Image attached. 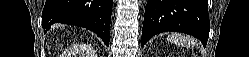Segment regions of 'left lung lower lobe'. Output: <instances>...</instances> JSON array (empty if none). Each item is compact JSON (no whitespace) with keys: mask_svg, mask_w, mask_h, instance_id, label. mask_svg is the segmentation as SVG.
I'll return each mask as SVG.
<instances>
[{"mask_svg":"<svg viewBox=\"0 0 249 57\" xmlns=\"http://www.w3.org/2000/svg\"><path fill=\"white\" fill-rule=\"evenodd\" d=\"M209 30L207 0H148L145 8L141 46L152 36L165 31L192 35L205 46Z\"/></svg>","mask_w":249,"mask_h":57,"instance_id":"0a47b994","label":"left lung lower lobe"}]
</instances>
